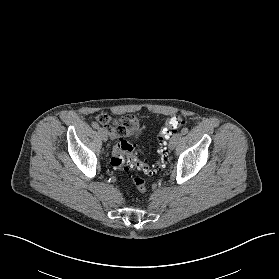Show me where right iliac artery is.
Returning <instances> with one entry per match:
<instances>
[{
  "instance_id": "obj_1",
  "label": "right iliac artery",
  "mask_w": 279,
  "mask_h": 279,
  "mask_svg": "<svg viewBox=\"0 0 279 279\" xmlns=\"http://www.w3.org/2000/svg\"><path fill=\"white\" fill-rule=\"evenodd\" d=\"M92 127L94 129H100V126H99V124L97 122H92Z\"/></svg>"
}]
</instances>
